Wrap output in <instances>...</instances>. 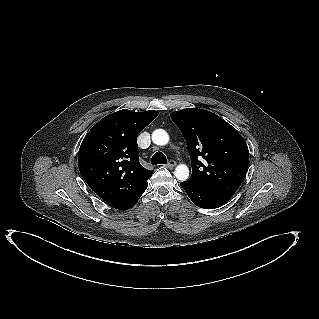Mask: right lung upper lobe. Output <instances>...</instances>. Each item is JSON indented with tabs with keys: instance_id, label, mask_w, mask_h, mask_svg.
<instances>
[{
	"instance_id": "cb5924a9",
	"label": "right lung upper lobe",
	"mask_w": 319,
	"mask_h": 319,
	"mask_svg": "<svg viewBox=\"0 0 319 319\" xmlns=\"http://www.w3.org/2000/svg\"><path fill=\"white\" fill-rule=\"evenodd\" d=\"M158 116L157 111L123 109L100 120L83 139L80 173L90 188L112 204L152 175L139 163L137 136Z\"/></svg>"
}]
</instances>
